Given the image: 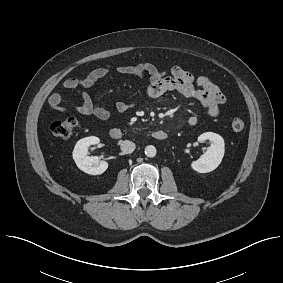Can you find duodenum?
I'll list each match as a JSON object with an SVG mask.
<instances>
[{"label":"duodenum","instance_id":"duodenum-1","mask_svg":"<svg viewBox=\"0 0 283 283\" xmlns=\"http://www.w3.org/2000/svg\"><path fill=\"white\" fill-rule=\"evenodd\" d=\"M109 135L114 140H119L123 136L122 131L118 128H112L109 132ZM152 136H153L154 139L162 141V140L167 139L168 133L166 131H163V130H158V131H155L152 134Z\"/></svg>","mask_w":283,"mask_h":283}]
</instances>
